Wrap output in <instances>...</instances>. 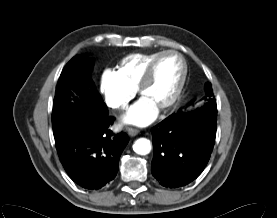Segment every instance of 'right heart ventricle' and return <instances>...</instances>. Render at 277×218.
Segmentation results:
<instances>
[{"label": "right heart ventricle", "instance_id": "right-heart-ventricle-1", "mask_svg": "<svg viewBox=\"0 0 277 218\" xmlns=\"http://www.w3.org/2000/svg\"><path fill=\"white\" fill-rule=\"evenodd\" d=\"M160 52H139L125 56L119 63L118 73L133 88H137L151 60Z\"/></svg>", "mask_w": 277, "mask_h": 218}]
</instances>
